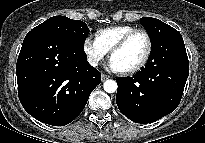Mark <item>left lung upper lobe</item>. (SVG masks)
<instances>
[{
	"instance_id": "5c2ea615",
	"label": "left lung upper lobe",
	"mask_w": 205,
	"mask_h": 143,
	"mask_svg": "<svg viewBox=\"0 0 205 143\" xmlns=\"http://www.w3.org/2000/svg\"><path fill=\"white\" fill-rule=\"evenodd\" d=\"M141 23L147 30L150 39L152 48L155 47L157 44H159L163 39H165L167 36L179 33L176 29L169 26L168 24L152 17H143L141 18ZM153 61V58L149 56V60L147 64L145 65V68H147L150 64V62Z\"/></svg>"
}]
</instances>
